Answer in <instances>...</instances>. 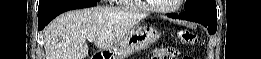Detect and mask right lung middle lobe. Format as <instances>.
I'll return each instance as SVG.
<instances>
[{
  "label": "right lung middle lobe",
  "instance_id": "1",
  "mask_svg": "<svg viewBox=\"0 0 261 59\" xmlns=\"http://www.w3.org/2000/svg\"><path fill=\"white\" fill-rule=\"evenodd\" d=\"M62 0H39L38 14Z\"/></svg>",
  "mask_w": 261,
  "mask_h": 59
}]
</instances>
